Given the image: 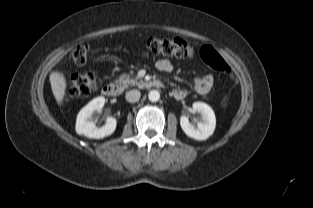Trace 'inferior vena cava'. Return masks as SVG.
<instances>
[{"mask_svg":"<svg viewBox=\"0 0 313 208\" xmlns=\"http://www.w3.org/2000/svg\"><path fill=\"white\" fill-rule=\"evenodd\" d=\"M140 96H141L140 91H138V90H131V91L126 93V100L128 102H131V103L137 102V101H139Z\"/></svg>","mask_w":313,"mask_h":208,"instance_id":"602c4592","label":"inferior vena cava"}]
</instances>
